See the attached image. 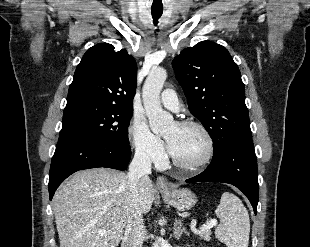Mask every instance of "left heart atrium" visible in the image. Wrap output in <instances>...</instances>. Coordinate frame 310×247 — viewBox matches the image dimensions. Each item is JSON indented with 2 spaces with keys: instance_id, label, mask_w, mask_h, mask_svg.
Returning a JSON list of instances; mask_svg holds the SVG:
<instances>
[{
  "instance_id": "obj_1",
  "label": "left heart atrium",
  "mask_w": 310,
  "mask_h": 247,
  "mask_svg": "<svg viewBox=\"0 0 310 247\" xmlns=\"http://www.w3.org/2000/svg\"><path fill=\"white\" fill-rule=\"evenodd\" d=\"M167 148H168L169 152L171 153L172 152V145L169 142L167 144Z\"/></svg>"
}]
</instances>
